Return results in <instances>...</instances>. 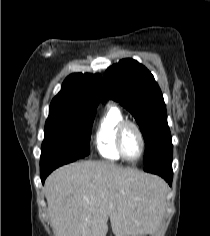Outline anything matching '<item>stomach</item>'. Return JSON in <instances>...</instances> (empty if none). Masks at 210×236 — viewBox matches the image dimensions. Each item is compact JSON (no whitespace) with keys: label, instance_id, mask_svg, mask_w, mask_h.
Listing matches in <instances>:
<instances>
[{"label":"stomach","instance_id":"stomach-1","mask_svg":"<svg viewBox=\"0 0 210 236\" xmlns=\"http://www.w3.org/2000/svg\"><path fill=\"white\" fill-rule=\"evenodd\" d=\"M141 236H155L153 233L150 234H145V235H141Z\"/></svg>","mask_w":210,"mask_h":236}]
</instances>
